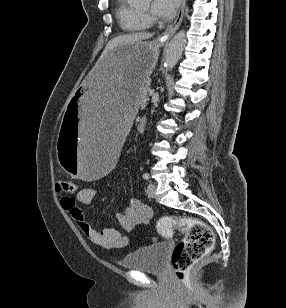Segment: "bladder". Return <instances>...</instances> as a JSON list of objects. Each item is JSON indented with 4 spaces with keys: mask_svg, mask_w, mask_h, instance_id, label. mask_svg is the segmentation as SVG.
I'll return each mask as SVG.
<instances>
[{
    "mask_svg": "<svg viewBox=\"0 0 286 308\" xmlns=\"http://www.w3.org/2000/svg\"><path fill=\"white\" fill-rule=\"evenodd\" d=\"M167 244L147 245L129 252L120 262L124 269L163 273L166 266Z\"/></svg>",
    "mask_w": 286,
    "mask_h": 308,
    "instance_id": "31cf9c89",
    "label": "bladder"
}]
</instances>
